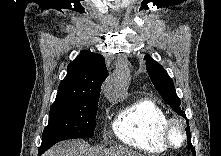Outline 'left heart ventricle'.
<instances>
[{"label":"left heart ventricle","instance_id":"b2bd125f","mask_svg":"<svg viewBox=\"0 0 221 156\" xmlns=\"http://www.w3.org/2000/svg\"><path fill=\"white\" fill-rule=\"evenodd\" d=\"M172 140L175 144H180L182 141V132L180 128L175 127L172 131Z\"/></svg>","mask_w":221,"mask_h":156}]
</instances>
